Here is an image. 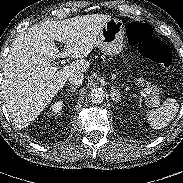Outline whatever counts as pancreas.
Returning a JSON list of instances; mask_svg holds the SVG:
<instances>
[{"instance_id":"1","label":"pancreas","mask_w":183,"mask_h":183,"mask_svg":"<svg viewBox=\"0 0 183 183\" xmlns=\"http://www.w3.org/2000/svg\"><path fill=\"white\" fill-rule=\"evenodd\" d=\"M136 84L142 87H146L148 95H149V100L147 105L151 106V107H156L160 104V87H158L157 85H151V83L146 82V80L144 78H139L136 79Z\"/></svg>"}]
</instances>
